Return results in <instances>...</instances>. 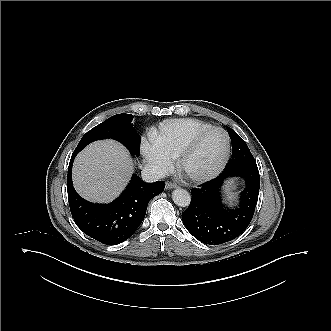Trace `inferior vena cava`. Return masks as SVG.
<instances>
[{"label":"inferior vena cava","mask_w":331,"mask_h":331,"mask_svg":"<svg viewBox=\"0 0 331 331\" xmlns=\"http://www.w3.org/2000/svg\"><path fill=\"white\" fill-rule=\"evenodd\" d=\"M142 180L153 183L165 178L164 171L157 165L146 164L141 171Z\"/></svg>","instance_id":"1"}]
</instances>
